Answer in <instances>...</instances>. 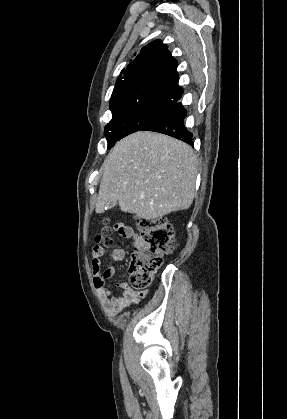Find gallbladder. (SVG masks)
Here are the masks:
<instances>
[{"instance_id":"obj_1","label":"gallbladder","mask_w":287,"mask_h":419,"mask_svg":"<svg viewBox=\"0 0 287 419\" xmlns=\"http://www.w3.org/2000/svg\"><path fill=\"white\" fill-rule=\"evenodd\" d=\"M116 202H114V201H111V202H109V203H107L106 204V210H111V209H113L115 206H116Z\"/></svg>"}]
</instances>
